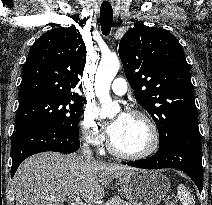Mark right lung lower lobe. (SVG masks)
<instances>
[{
	"label": "right lung lower lobe",
	"instance_id": "98d812e1",
	"mask_svg": "<svg viewBox=\"0 0 212 205\" xmlns=\"http://www.w3.org/2000/svg\"><path fill=\"white\" fill-rule=\"evenodd\" d=\"M11 147V178H13L18 166L27 157L45 151L72 153L79 149L80 143L79 137L58 127L34 124L16 129Z\"/></svg>",
	"mask_w": 212,
	"mask_h": 205
}]
</instances>
